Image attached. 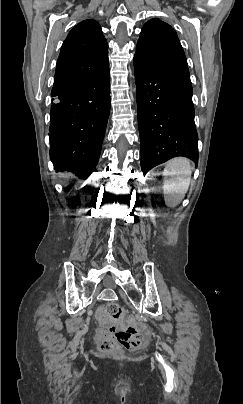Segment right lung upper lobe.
Segmentation results:
<instances>
[{
	"instance_id": "obj_1",
	"label": "right lung upper lobe",
	"mask_w": 243,
	"mask_h": 404,
	"mask_svg": "<svg viewBox=\"0 0 243 404\" xmlns=\"http://www.w3.org/2000/svg\"><path fill=\"white\" fill-rule=\"evenodd\" d=\"M108 44L98 22L78 23L63 42L51 93L83 83L108 69Z\"/></svg>"
}]
</instances>
